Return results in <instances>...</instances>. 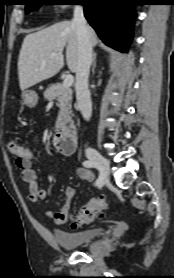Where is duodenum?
<instances>
[{"mask_svg": "<svg viewBox=\"0 0 174 278\" xmlns=\"http://www.w3.org/2000/svg\"><path fill=\"white\" fill-rule=\"evenodd\" d=\"M53 143L58 151L64 155H70L74 152L76 145V128L70 125L57 131L53 137Z\"/></svg>", "mask_w": 174, "mask_h": 278, "instance_id": "1", "label": "duodenum"}]
</instances>
